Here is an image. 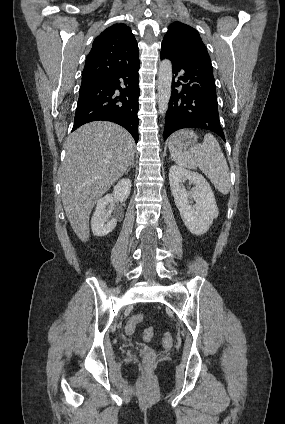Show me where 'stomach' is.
<instances>
[{"label":"stomach","instance_id":"obj_1","mask_svg":"<svg viewBox=\"0 0 285 424\" xmlns=\"http://www.w3.org/2000/svg\"><path fill=\"white\" fill-rule=\"evenodd\" d=\"M182 132H185L184 134ZM197 135L189 131H180L172 135L168 141L173 143L175 147H180L181 149H187L190 146L195 145L197 142Z\"/></svg>","mask_w":285,"mask_h":424}]
</instances>
